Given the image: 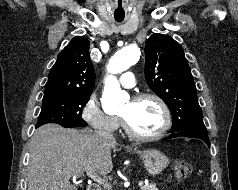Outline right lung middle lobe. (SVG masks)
Returning a JSON list of instances; mask_svg holds the SVG:
<instances>
[{
	"mask_svg": "<svg viewBox=\"0 0 238 190\" xmlns=\"http://www.w3.org/2000/svg\"><path fill=\"white\" fill-rule=\"evenodd\" d=\"M90 95H59L43 98L42 109L36 128L46 123H57L64 127H85L81 111Z\"/></svg>",
	"mask_w": 238,
	"mask_h": 190,
	"instance_id": "1",
	"label": "right lung middle lobe"
}]
</instances>
